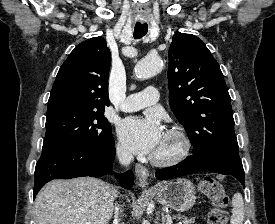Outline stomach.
I'll use <instances>...</instances> for the list:
<instances>
[{
    "mask_svg": "<svg viewBox=\"0 0 275 224\" xmlns=\"http://www.w3.org/2000/svg\"><path fill=\"white\" fill-rule=\"evenodd\" d=\"M195 187L188 179H176L160 185L156 189V199L163 206L177 212H185L196 201Z\"/></svg>",
    "mask_w": 275,
    "mask_h": 224,
    "instance_id": "0dacf381",
    "label": "stomach"
}]
</instances>
